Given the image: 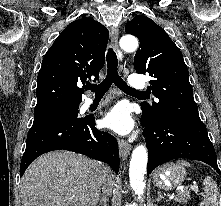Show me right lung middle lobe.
<instances>
[{"instance_id": "obj_1", "label": "right lung middle lobe", "mask_w": 221, "mask_h": 206, "mask_svg": "<svg viewBox=\"0 0 221 206\" xmlns=\"http://www.w3.org/2000/svg\"><path fill=\"white\" fill-rule=\"evenodd\" d=\"M78 108L79 104L35 107L33 124L52 119L76 118L78 116Z\"/></svg>"}]
</instances>
